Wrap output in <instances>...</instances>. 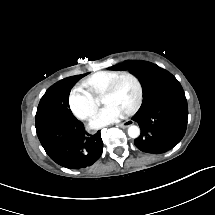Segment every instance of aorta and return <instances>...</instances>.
Segmentation results:
<instances>
[{
  "label": "aorta",
  "mask_w": 215,
  "mask_h": 215,
  "mask_svg": "<svg viewBox=\"0 0 215 215\" xmlns=\"http://www.w3.org/2000/svg\"><path fill=\"white\" fill-rule=\"evenodd\" d=\"M139 134H140V129H139L138 126H136V125H130V126L128 127V135H129L130 137L136 138V137L139 136Z\"/></svg>",
  "instance_id": "aorta-1"
}]
</instances>
